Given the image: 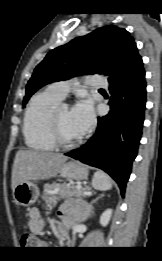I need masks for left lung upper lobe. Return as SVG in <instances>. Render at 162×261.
Returning a JSON list of instances; mask_svg holds the SVG:
<instances>
[{"instance_id": "5c2ea615", "label": "left lung upper lobe", "mask_w": 162, "mask_h": 261, "mask_svg": "<svg viewBox=\"0 0 162 261\" xmlns=\"http://www.w3.org/2000/svg\"><path fill=\"white\" fill-rule=\"evenodd\" d=\"M141 59L130 34L105 26L51 50L35 68L26 86L23 105L42 86L80 74H105L117 78Z\"/></svg>"}]
</instances>
